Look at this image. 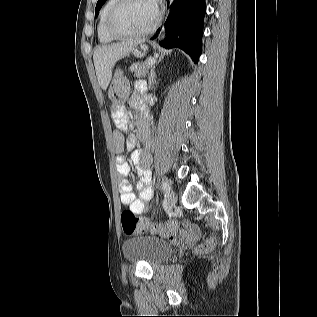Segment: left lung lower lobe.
Here are the masks:
<instances>
[{"mask_svg": "<svg viewBox=\"0 0 317 317\" xmlns=\"http://www.w3.org/2000/svg\"><path fill=\"white\" fill-rule=\"evenodd\" d=\"M165 22L168 36L160 45L165 48L178 47L197 62L201 52L205 0H175ZM157 35L153 36L154 40Z\"/></svg>", "mask_w": 317, "mask_h": 317, "instance_id": "0a47b994", "label": "left lung lower lobe"}]
</instances>
